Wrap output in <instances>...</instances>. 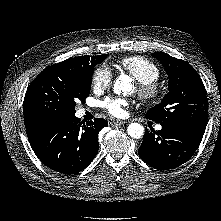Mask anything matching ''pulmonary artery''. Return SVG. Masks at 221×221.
<instances>
[{
	"label": "pulmonary artery",
	"instance_id": "pulmonary-artery-1",
	"mask_svg": "<svg viewBox=\"0 0 221 221\" xmlns=\"http://www.w3.org/2000/svg\"><path fill=\"white\" fill-rule=\"evenodd\" d=\"M156 128H157V130H161L162 127H161V125H158Z\"/></svg>",
	"mask_w": 221,
	"mask_h": 221
}]
</instances>
